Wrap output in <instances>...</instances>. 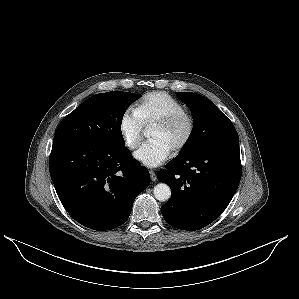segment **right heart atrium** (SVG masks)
I'll use <instances>...</instances> for the list:
<instances>
[{
    "label": "right heart atrium",
    "mask_w": 299,
    "mask_h": 299,
    "mask_svg": "<svg viewBox=\"0 0 299 299\" xmlns=\"http://www.w3.org/2000/svg\"><path fill=\"white\" fill-rule=\"evenodd\" d=\"M144 129V122L136 109L127 108L121 115L119 131L129 149H135L139 145Z\"/></svg>",
    "instance_id": "1"
}]
</instances>
